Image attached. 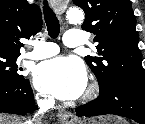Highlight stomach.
<instances>
[{"mask_svg":"<svg viewBox=\"0 0 145 124\" xmlns=\"http://www.w3.org/2000/svg\"><path fill=\"white\" fill-rule=\"evenodd\" d=\"M78 124H125V121L118 117L106 116L88 121H81Z\"/></svg>","mask_w":145,"mask_h":124,"instance_id":"stomach-1","label":"stomach"}]
</instances>
